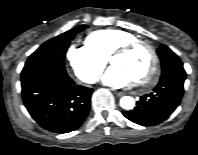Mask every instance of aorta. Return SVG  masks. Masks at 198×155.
I'll return each mask as SVG.
<instances>
[{
  "instance_id": "aorta-1",
  "label": "aorta",
  "mask_w": 198,
  "mask_h": 155,
  "mask_svg": "<svg viewBox=\"0 0 198 155\" xmlns=\"http://www.w3.org/2000/svg\"><path fill=\"white\" fill-rule=\"evenodd\" d=\"M120 106L125 110H131L135 106V100L131 96H123L120 99Z\"/></svg>"
}]
</instances>
